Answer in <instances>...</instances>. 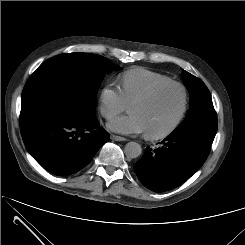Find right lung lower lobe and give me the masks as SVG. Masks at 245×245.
<instances>
[{"mask_svg": "<svg viewBox=\"0 0 245 245\" xmlns=\"http://www.w3.org/2000/svg\"><path fill=\"white\" fill-rule=\"evenodd\" d=\"M95 114L76 117L60 109L20 122L28 152L47 171L60 176L87 165L109 135L100 130Z\"/></svg>", "mask_w": 245, "mask_h": 245, "instance_id": "1", "label": "right lung lower lobe"}]
</instances>
